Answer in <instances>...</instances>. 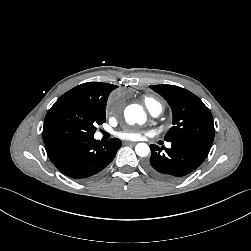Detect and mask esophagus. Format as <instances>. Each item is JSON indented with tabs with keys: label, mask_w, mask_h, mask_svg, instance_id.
<instances>
[{
	"label": "esophagus",
	"mask_w": 251,
	"mask_h": 251,
	"mask_svg": "<svg viewBox=\"0 0 251 251\" xmlns=\"http://www.w3.org/2000/svg\"><path fill=\"white\" fill-rule=\"evenodd\" d=\"M125 143L128 145H135L136 144V142H134V141H126Z\"/></svg>",
	"instance_id": "1"
}]
</instances>
